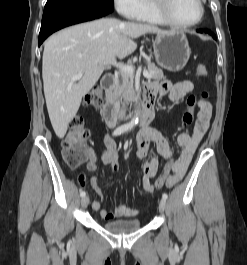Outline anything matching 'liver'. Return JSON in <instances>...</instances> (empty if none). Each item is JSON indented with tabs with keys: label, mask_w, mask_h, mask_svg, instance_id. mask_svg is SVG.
<instances>
[{
	"label": "liver",
	"mask_w": 247,
	"mask_h": 265,
	"mask_svg": "<svg viewBox=\"0 0 247 265\" xmlns=\"http://www.w3.org/2000/svg\"><path fill=\"white\" fill-rule=\"evenodd\" d=\"M171 31L153 25L103 18L59 31L45 42L42 78L47 110L55 134L63 138L82 98L102 75L106 65L133 53V39ZM83 73L79 80L73 77Z\"/></svg>",
	"instance_id": "liver-1"
}]
</instances>
